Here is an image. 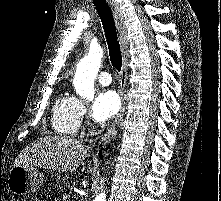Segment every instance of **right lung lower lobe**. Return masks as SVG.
Returning a JSON list of instances; mask_svg holds the SVG:
<instances>
[{"instance_id": "98d812e1", "label": "right lung lower lobe", "mask_w": 221, "mask_h": 201, "mask_svg": "<svg viewBox=\"0 0 221 201\" xmlns=\"http://www.w3.org/2000/svg\"><path fill=\"white\" fill-rule=\"evenodd\" d=\"M99 155H100V158H102V154H101V153H99Z\"/></svg>"}]
</instances>
